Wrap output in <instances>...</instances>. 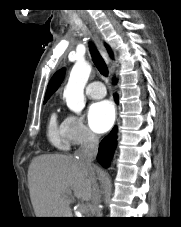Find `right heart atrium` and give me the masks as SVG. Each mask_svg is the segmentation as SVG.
<instances>
[{
    "label": "right heart atrium",
    "instance_id": "right-heart-atrium-1",
    "mask_svg": "<svg viewBox=\"0 0 181 227\" xmlns=\"http://www.w3.org/2000/svg\"><path fill=\"white\" fill-rule=\"evenodd\" d=\"M64 133L68 141L76 146L91 144L96 140L95 134L85 125L83 119L74 114L64 119Z\"/></svg>",
    "mask_w": 181,
    "mask_h": 227
}]
</instances>
